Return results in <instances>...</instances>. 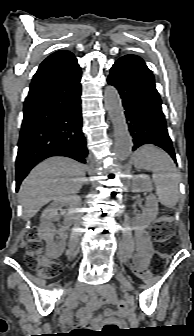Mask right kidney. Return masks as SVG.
<instances>
[{"label": "right kidney", "instance_id": "ca27d5eb", "mask_svg": "<svg viewBox=\"0 0 194 336\" xmlns=\"http://www.w3.org/2000/svg\"><path fill=\"white\" fill-rule=\"evenodd\" d=\"M81 204V198L78 195H69L54 200L42 213L38 235L46 241V249L50 256L57 258L62 255L66 243V230L69 228L73 215L76 213L77 207ZM63 207L67 209L62 210ZM58 211L65 214L64 226L61 230L56 231L53 222L58 219ZM59 237L55 239V235Z\"/></svg>", "mask_w": 194, "mask_h": 336}]
</instances>
